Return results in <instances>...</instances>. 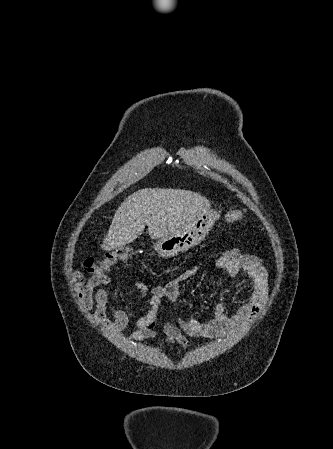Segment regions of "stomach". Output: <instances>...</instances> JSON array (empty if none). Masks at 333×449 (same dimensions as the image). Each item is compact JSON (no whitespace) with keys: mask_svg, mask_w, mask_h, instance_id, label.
Masks as SVG:
<instances>
[{"mask_svg":"<svg viewBox=\"0 0 333 449\" xmlns=\"http://www.w3.org/2000/svg\"><path fill=\"white\" fill-rule=\"evenodd\" d=\"M218 219L219 214L209 208L178 231L157 239L154 249L162 256L186 252L206 238Z\"/></svg>","mask_w":333,"mask_h":449,"instance_id":"0dacf381","label":"stomach"}]
</instances>
